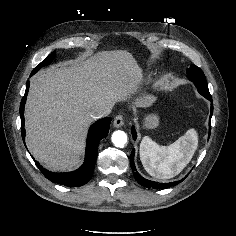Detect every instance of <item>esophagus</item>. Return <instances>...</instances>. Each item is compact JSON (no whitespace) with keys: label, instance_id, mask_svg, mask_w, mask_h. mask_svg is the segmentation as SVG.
Here are the masks:
<instances>
[{"label":"esophagus","instance_id":"esophagus-1","mask_svg":"<svg viewBox=\"0 0 236 236\" xmlns=\"http://www.w3.org/2000/svg\"><path fill=\"white\" fill-rule=\"evenodd\" d=\"M113 125L116 128H120L123 125V117H122V115L119 114V115H117L115 117Z\"/></svg>","mask_w":236,"mask_h":236}]
</instances>
